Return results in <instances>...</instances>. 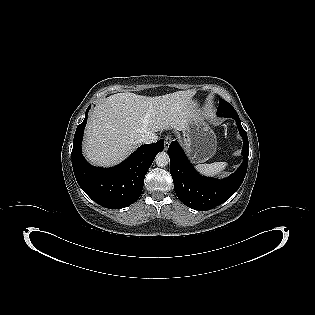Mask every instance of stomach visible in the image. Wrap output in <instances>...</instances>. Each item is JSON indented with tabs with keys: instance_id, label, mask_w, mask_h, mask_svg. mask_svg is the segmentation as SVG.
<instances>
[{
	"instance_id": "stomach-1",
	"label": "stomach",
	"mask_w": 315,
	"mask_h": 315,
	"mask_svg": "<svg viewBox=\"0 0 315 315\" xmlns=\"http://www.w3.org/2000/svg\"><path fill=\"white\" fill-rule=\"evenodd\" d=\"M195 102L194 116L183 132L184 146L194 162H205L210 159L215 151L217 140L214 132L205 122L197 100Z\"/></svg>"
}]
</instances>
